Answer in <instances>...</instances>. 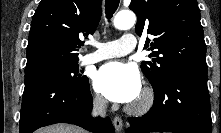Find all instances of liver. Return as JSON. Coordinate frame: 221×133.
Here are the masks:
<instances>
[{
    "label": "liver",
    "instance_id": "6515ba94",
    "mask_svg": "<svg viewBox=\"0 0 221 133\" xmlns=\"http://www.w3.org/2000/svg\"><path fill=\"white\" fill-rule=\"evenodd\" d=\"M37 133H85V131L68 124H55L44 129H40Z\"/></svg>",
    "mask_w": 221,
    "mask_h": 133
}]
</instances>
